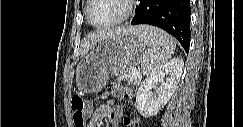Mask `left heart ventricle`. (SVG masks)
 Segmentation results:
<instances>
[{"instance_id": "b2bd125f", "label": "left heart ventricle", "mask_w": 243, "mask_h": 127, "mask_svg": "<svg viewBox=\"0 0 243 127\" xmlns=\"http://www.w3.org/2000/svg\"><path fill=\"white\" fill-rule=\"evenodd\" d=\"M125 11L122 0H94L91 8V19L96 24H103L120 17Z\"/></svg>"}]
</instances>
